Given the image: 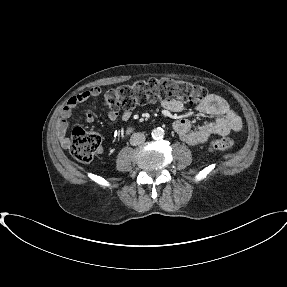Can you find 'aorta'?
I'll return each instance as SVG.
<instances>
[{
    "mask_svg": "<svg viewBox=\"0 0 287 287\" xmlns=\"http://www.w3.org/2000/svg\"><path fill=\"white\" fill-rule=\"evenodd\" d=\"M164 134L165 131L161 127L153 129L151 133L153 139L155 140L162 139L164 137Z\"/></svg>",
    "mask_w": 287,
    "mask_h": 287,
    "instance_id": "762f6f07",
    "label": "aorta"
}]
</instances>
